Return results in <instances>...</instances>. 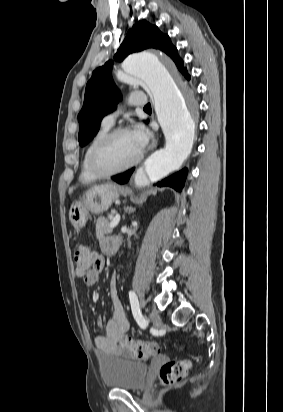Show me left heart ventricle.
<instances>
[{"instance_id":"1","label":"left heart ventricle","mask_w":283,"mask_h":412,"mask_svg":"<svg viewBox=\"0 0 283 412\" xmlns=\"http://www.w3.org/2000/svg\"><path fill=\"white\" fill-rule=\"evenodd\" d=\"M140 151L131 132L120 134L104 149L99 165L105 170L122 167L133 161Z\"/></svg>"}]
</instances>
